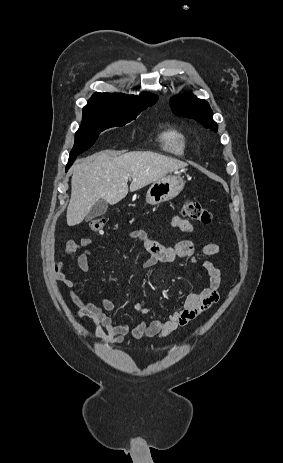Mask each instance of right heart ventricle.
Segmentation results:
<instances>
[{"label": "right heart ventricle", "instance_id": "1", "mask_svg": "<svg viewBox=\"0 0 283 463\" xmlns=\"http://www.w3.org/2000/svg\"><path fill=\"white\" fill-rule=\"evenodd\" d=\"M160 142L164 150L175 154L183 155L186 151L187 137L178 128H170L160 135Z\"/></svg>", "mask_w": 283, "mask_h": 463}]
</instances>
